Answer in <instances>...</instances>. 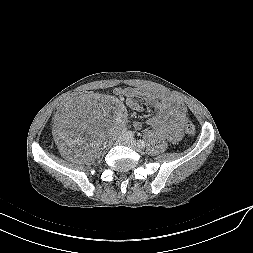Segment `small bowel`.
Listing matches in <instances>:
<instances>
[{"instance_id":"small-bowel-1","label":"small bowel","mask_w":253,"mask_h":253,"mask_svg":"<svg viewBox=\"0 0 253 253\" xmlns=\"http://www.w3.org/2000/svg\"><path fill=\"white\" fill-rule=\"evenodd\" d=\"M115 95L125 100L126 105L135 111L142 110L138 98H143L155 111V115L148 119L147 124L171 143L181 139L182 127L186 121V108L179 100L137 88H117ZM66 121V117H63L59 122L58 127L62 133L66 132ZM134 127L139 129L142 123L135 121Z\"/></svg>"}]
</instances>
